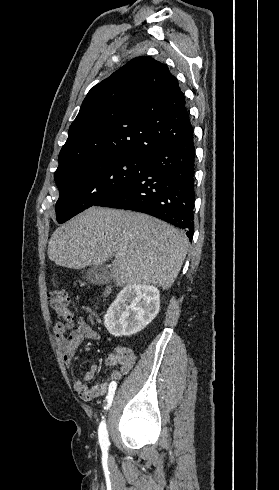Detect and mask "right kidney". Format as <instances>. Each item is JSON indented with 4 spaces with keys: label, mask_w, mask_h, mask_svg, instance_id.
I'll use <instances>...</instances> for the list:
<instances>
[{
    "label": "right kidney",
    "mask_w": 279,
    "mask_h": 490,
    "mask_svg": "<svg viewBox=\"0 0 279 490\" xmlns=\"http://www.w3.org/2000/svg\"><path fill=\"white\" fill-rule=\"evenodd\" d=\"M160 292L150 284H128L104 316V326L114 338L133 336L156 318Z\"/></svg>",
    "instance_id": "ca27d5eb"
}]
</instances>
